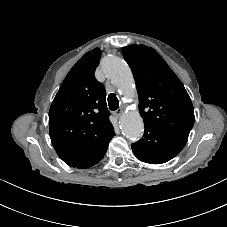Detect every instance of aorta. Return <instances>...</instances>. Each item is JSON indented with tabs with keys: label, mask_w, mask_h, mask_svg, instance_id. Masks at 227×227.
<instances>
[{
	"label": "aorta",
	"mask_w": 227,
	"mask_h": 227,
	"mask_svg": "<svg viewBox=\"0 0 227 227\" xmlns=\"http://www.w3.org/2000/svg\"><path fill=\"white\" fill-rule=\"evenodd\" d=\"M104 73L117 85L121 95L126 98L135 96L133 74L128 64L120 57L109 55L102 62ZM121 128L126 137L139 138L144 131L143 119L139 112L128 110L121 116Z\"/></svg>",
	"instance_id": "aorta-1"
}]
</instances>
